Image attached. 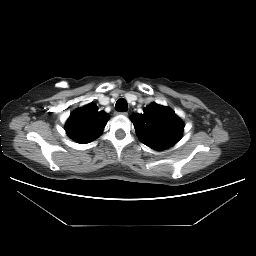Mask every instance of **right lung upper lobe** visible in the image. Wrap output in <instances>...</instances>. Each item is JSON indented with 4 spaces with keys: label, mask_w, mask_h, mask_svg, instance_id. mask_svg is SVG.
Wrapping results in <instances>:
<instances>
[{
    "label": "right lung upper lobe",
    "mask_w": 256,
    "mask_h": 256,
    "mask_svg": "<svg viewBox=\"0 0 256 256\" xmlns=\"http://www.w3.org/2000/svg\"><path fill=\"white\" fill-rule=\"evenodd\" d=\"M109 115L98 112L94 103L75 110L66 123L67 134L79 143H88L99 137L107 124Z\"/></svg>",
    "instance_id": "right-lung-upper-lobe-1"
}]
</instances>
